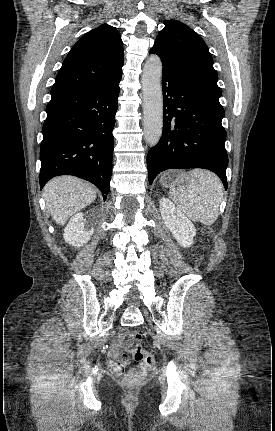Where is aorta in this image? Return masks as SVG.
Masks as SVG:
<instances>
[{"mask_svg":"<svg viewBox=\"0 0 275 431\" xmlns=\"http://www.w3.org/2000/svg\"><path fill=\"white\" fill-rule=\"evenodd\" d=\"M162 62L158 55H150L142 74L143 129L146 142L157 145L163 127Z\"/></svg>","mask_w":275,"mask_h":431,"instance_id":"obj_1","label":"aorta"}]
</instances>
